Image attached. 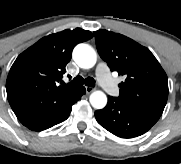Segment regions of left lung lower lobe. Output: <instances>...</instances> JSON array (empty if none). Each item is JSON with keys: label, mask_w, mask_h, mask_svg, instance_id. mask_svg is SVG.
<instances>
[{"label": "left lung lower lobe", "mask_w": 181, "mask_h": 164, "mask_svg": "<svg viewBox=\"0 0 181 164\" xmlns=\"http://www.w3.org/2000/svg\"><path fill=\"white\" fill-rule=\"evenodd\" d=\"M97 122L121 138H134L147 132L159 115L110 96L105 108L95 111Z\"/></svg>", "instance_id": "0a47b994"}]
</instances>
